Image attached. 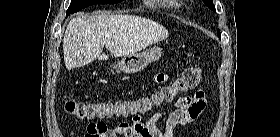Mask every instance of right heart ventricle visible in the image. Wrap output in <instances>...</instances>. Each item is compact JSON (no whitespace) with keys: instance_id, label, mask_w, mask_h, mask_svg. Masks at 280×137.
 <instances>
[{"instance_id":"e07e8e85","label":"right heart ventricle","mask_w":280,"mask_h":137,"mask_svg":"<svg viewBox=\"0 0 280 137\" xmlns=\"http://www.w3.org/2000/svg\"><path fill=\"white\" fill-rule=\"evenodd\" d=\"M173 1H176V0H173ZM178 2V0H177ZM178 4H176V7L174 8L175 11H182L183 8H180L179 6H177Z\"/></svg>"}]
</instances>
